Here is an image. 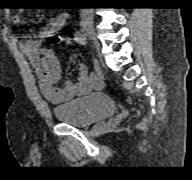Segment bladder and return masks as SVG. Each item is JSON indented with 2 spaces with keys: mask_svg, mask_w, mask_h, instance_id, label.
<instances>
[{
  "mask_svg": "<svg viewBox=\"0 0 192 180\" xmlns=\"http://www.w3.org/2000/svg\"><path fill=\"white\" fill-rule=\"evenodd\" d=\"M116 106L112 99L103 93H93L54 106L52 112L61 121L76 127L90 125L112 116Z\"/></svg>",
  "mask_w": 192,
  "mask_h": 180,
  "instance_id": "obj_1",
  "label": "bladder"
}]
</instances>
